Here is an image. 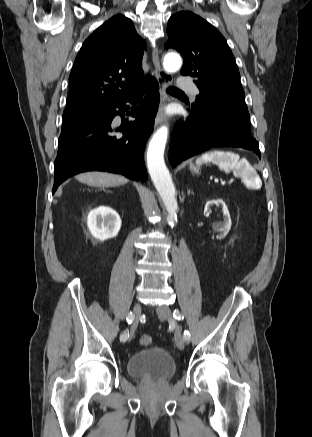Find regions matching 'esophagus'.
Returning <instances> with one entry per match:
<instances>
[{"instance_id":"34e87169","label":"esophagus","mask_w":312,"mask_h":437,"mask_svg":"<svg viewBox=\"0 0 312 437\" xmlns=\"http://www.w3.org/2000/svg\"><path fill=\"white\" fill-rule=\"evenodd\" d=\"M152 62L155 67V74L159 84V91H160V105H159L158 113L155 118V126H158L166 122L164 107L167 100L169 99V96L166 93V89L169 85H171L173 78L171 74H169L168 72L162 69L159 61L157 48H154L152 51Z\"/></svg>"}]
</instances>
